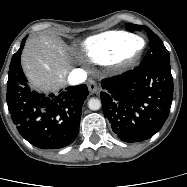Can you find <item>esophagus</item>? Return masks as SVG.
I'll list each match as a JSON object with an SVG mask.
<instances>
[{"mask_svg": "<svg viewBox=\"0 0 187 187\" xmlns=\"http://www.w3.org/2000/svg\"><path fill=\"white\" fill-rule=\"evenodd\" d=\"M88 89L91 93H96L99 90V87L95 81L91 80L88 83Z\"/></svg>", "mask_w": 187, "mask_h": 187, "instance_id": "obj_1", "label": "esophagus"}]
</instances>
